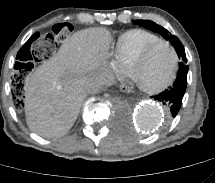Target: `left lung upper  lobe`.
I'll list each match as a JSON object with an SVG mask.
<instances>
[{
    "label": "left lung upper lobe",
    "instance_id": "left-lung-upper-lobe-1",
    "mask_svg": "<svg viewBox=\"0 0 215 183\" xmlns=\"http://www.w3.org/2000/svg\"><path fill=\"white\" fill-rule=\"evenodd\" d=\"M134 24H138L140 26H143L147 29H150L151 31L157 32L159 34H161L166 40L171 41L173 47L175 48L178 57L181 59V63H180V68L186 67L188 69V66L186 65L187 63V59H186V54H185V50L184 47L182 45V43L180 42V40L176 37L173 36L172 34H170L165 28L155 24L152 21L149 20H135L133 21Z\"/></svg>",
    "mask_w": 215,
    "mask_h": 183
}]
</instances>
